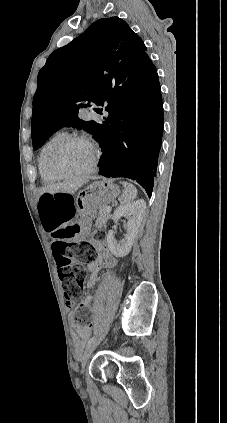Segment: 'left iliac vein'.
<instances>
[{"label":"left iliac vein","mask_w":227,"mask_h":423,"mask_svg":"<svg viewBox=\"0 0 227 423\" xmlns=\"http://www.w3.org/2000/svg\"><path fill=\"white\" fill-rule=\"evenodd\" d=\"M107 332L104 333V335L102 337H100L97 341H95L94 343H92L91 345H89L85 352H84V357H83V362H82V373H84V369L86 367V361L89 357V355L95 350V348L101 343V341L103 340L104 336L106 335Z\"/></svg>","instance_id":"obj_1"}]
</instances>
